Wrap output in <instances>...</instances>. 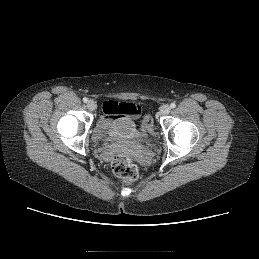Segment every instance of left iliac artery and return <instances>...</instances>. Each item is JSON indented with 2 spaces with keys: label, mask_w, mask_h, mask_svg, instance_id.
Returning a JSON list of instances; mask_svg holds the SVG:
<instances>
[{
  "label": "left iliac artery",
  "mask_w": 259,
  "mask_h": 259,
  "mask_svg": "<svg viewBox=\"0 0 259 259\" xmlns=\"http://www.w3.org/2000/svg\"><path fill=\"white\" fill-rule=\"evenodd\" d=\"M170 107H171V108H175V107H176V104L173 102V103L170 104Z\"/></svg>",
  "instance_id": "1"
}]
</instances>
